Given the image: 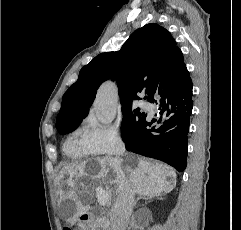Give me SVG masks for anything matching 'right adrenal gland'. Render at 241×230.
<instances>
[{"label":"right adrenal gland","mask_w":241,"mask_h":230,"mask_svg":"<svg viewBox=\"0 0 241 230\" xmlns=\"http://www.w3.org/2000/svg\"><path fill=\"white\" fill-rule=\"evenodd\" d=\"M140 199H144V200H149V201H150L152 198H151V197H146V196H140V197H138V198L135 200L134 206L137 205V203H138V201H139Z\"/></svg>","instance_id":"right-adrenal-gland-1"}]
</instances>
